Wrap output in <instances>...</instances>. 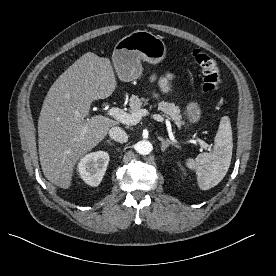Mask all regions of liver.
I'll use <instances>...</instances> for the list:
<instances>
[{
    "instance_id": "obj_1",
    "label": "liver",
    "mask_w": 276,
    "mask_h": 276,
    "mask_svg": "<svg viewBox=\"0 0 276 276\" xmlns=\"http://www.w3.org/2000/svg\"><path fill=\"white\" fill-rule=\"evenodd\" d=\"M116 87L110 60L87 52L49 89L38 119V146L42 171L54 185L69 188L78 160L118 124L101 115L86 118L92 102Z\"/></svg>"
}]
</instances>
